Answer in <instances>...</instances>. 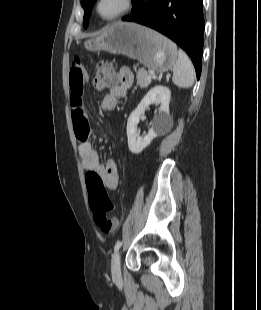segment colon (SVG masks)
<instances>
[{"instance_id":"5ec220e1","label":"colon","mask_w":261,"mask_h":310,"mask_svg":"<svg viewBox=\"0 0 261 310\" xmlns=\"http://www.w3.org/2000/svg\"><path fill=\"white\" fill-rule=\"evenodd\" d=\"M117 79L112 67L108 61L99 62L94 71L92 87L97 92H102L116 84ZM89 204L93 212L95 224L103 233H111L117 228V220L109 216L113 209V204L108 196L107 190L101 176L95 171H88L85 176Z\"/></svg>"}]
</instances>
